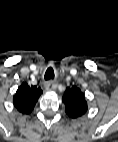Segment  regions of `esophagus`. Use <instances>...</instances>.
<instances>
[{"label":"esophagus","mask_w":118,"mask_h":142,"mask_svg":"<svg viewBox=\"0 0 118 142\" xmlns=\"http://www.w3.org/2000/svg\"><path fill=\"white\" fill-rule=\"evenodd\" d=\"M56 87H57V85L55 83L51 82V81H49L45 84V89L47 91H53V90L56 89Z\"/></svg>","instance_id":"obj_1"}]
</instances>
